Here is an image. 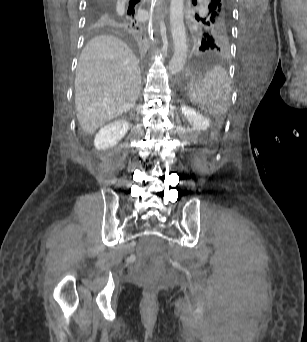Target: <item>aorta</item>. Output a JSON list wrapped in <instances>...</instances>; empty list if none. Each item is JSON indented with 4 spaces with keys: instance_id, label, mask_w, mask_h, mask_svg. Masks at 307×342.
Wrapping results in <instances>:
<instances>
[{
    "instance_id": "aorta-1",
    "label": "aorta",
    "mask_w": 307,
    "mask_h": 342,
    "mask_svg": "<svg viewBox=\"0 0 307 342\" xmlns=\"http://www.w3.org/2000/svg\"><path fill=\"white\" fill-rule=\"evenodd\" d=\"M183 8L184 0H171L170 28L174 44V54L169 64L170 72H180L187 60L188 50Z\"/></svg>"
}]
</instances>
